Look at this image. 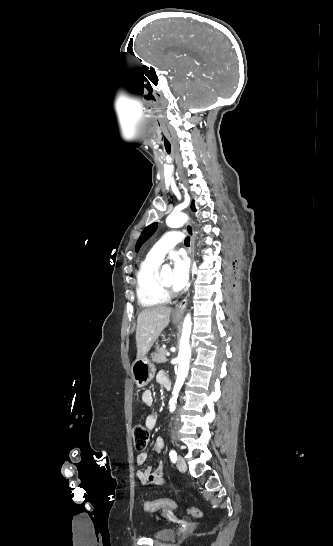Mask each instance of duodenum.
<instances>
[{
	"instance_id": "obj_1",
	"label": "duodenum",
	"mask_w": 333,
	"mask_h": 546,
	"mask_svg": "<svg viewBox=\"0 0 333 546\" xmlns=\"http://www.w3.org/2000/svg\"><path fill=\"white\" fill-rule=\"evenodd\" d=\"M164 386L166 389H170V380H168Z\"/></svg>"
}]
</instances>
